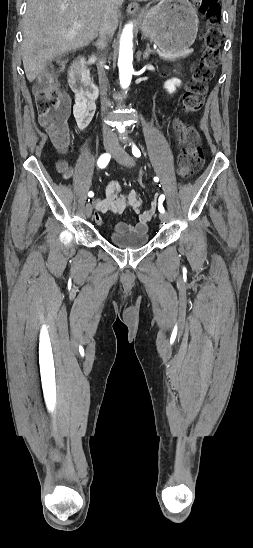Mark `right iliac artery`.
Segmentation results:
<instances>
[{
    "label": "right iliac artery",
    "instance_id": "obj_1",
    "mask_svg": "<svg viewBox=\"0 0 253 548\" xmlns=\"http://www.w3.org/2000/svg\"><path fill=\"white\" fill-rule=\"evenodd\" d=\"M110 158H111V155H110V154H108V153L102 154V155L99 157L98 162H97L99 168H101V169L105 168V167L107 166V164L109 163ZM88 196H89V197H93V196H94V193H93L92 191H90V192L88 193Z\"/></svg>",
    "mask_w": 253,
    "mask_h": 548
}]
</instances>
